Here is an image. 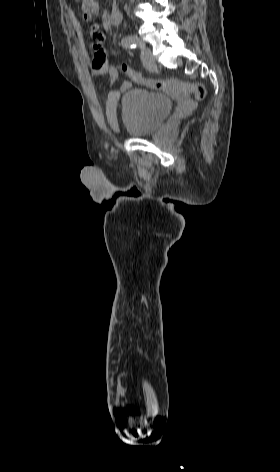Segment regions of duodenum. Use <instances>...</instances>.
I'll return each instance as SVG.
<instances>
[{"label": "duodenum", "mask_w": 280, "mask_h": 472, "mask_svg": "<svg viewBox=\"0 0 280 472\" xmlns=\"http://www.w3.org/2000/svg\"><path fill=\"white\" fill-rule=\"evenodd\" d=\"M122 21V13L117 9L113 8L110 12L109 22L112 26H117Z\"/></svg>", "instance_id": "duodenum-1"}]
</instances>
